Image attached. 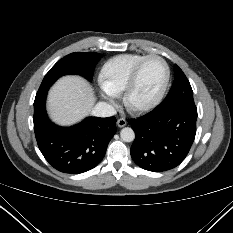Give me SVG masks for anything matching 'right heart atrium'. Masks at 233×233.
<instances>
[{
    "label": "right heart atrium",
    "instance_id": "right-heart-atrium-1",
    "mask_svg": "<svg viewBox=\"0 0 233 233\" xmlns=\"http://www.w3.org/2000/svg\"><path fill=\"white\" fill-rule=\"evenodd\" d=\"M104 97L109 100L110 102L114 101V95H111L109 93H106V95H104Z\"/></svg>",
    "mask_w": 233,
    "mask_h": 233
}]
</instances>
